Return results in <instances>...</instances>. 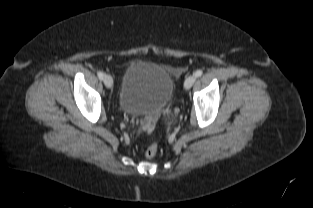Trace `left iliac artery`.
Listing matches in <instances>:
<instances>
[{"mask_svg":"<svg viewBox=\"0 0 313 208\" xmlns=\"http://www.w3.org/2000/svg\"><path fill=\"white\" fill-rule=\"evenodd\" d=\"M202 74H203V71H202V70H197V71L195 72V76H196V77H200Z\"/></svg>","mask_w":313,"mask_h":208,"instance_id":"1","label":"left iliac artery"}]
</instances>
